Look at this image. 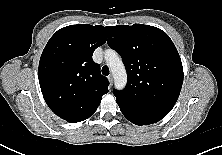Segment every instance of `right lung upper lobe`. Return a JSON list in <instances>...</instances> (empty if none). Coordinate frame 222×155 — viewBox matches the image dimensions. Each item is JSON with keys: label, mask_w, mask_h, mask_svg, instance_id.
I'll use <instances>...</instances> for the list:
<instances>
[{"label": "right lung upper lobe", "mask_w": 222, "mask_h": 155, "mask_svg": "<svg viewBox=\"0 0 222 155\" xmlns=\"http://www.w3.org/2000/svg\"><path fill=\"white\" fill-rule=\"evenodd\" d=\"M103 26L77 24L58 30L39 62V84L50 109L68 122L89 118L108 93L109 82L94 63V50L106 42Z\"/></svg>", "instance_id": "obj_1"}]
</instances>
